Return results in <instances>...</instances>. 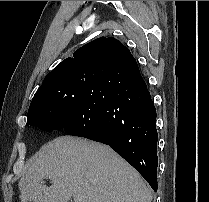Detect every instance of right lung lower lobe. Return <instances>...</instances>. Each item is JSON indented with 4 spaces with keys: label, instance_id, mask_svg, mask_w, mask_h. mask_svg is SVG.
<instances>
[{
    "label": "right lung lower lobe",
    "instance_id": "obj_1",
    "mask_svg": "<svg viewBox=\"0 0 209 202\" xmlns=\"http://www.w3.org/2000/svg\"><path fill=\"white\" fill-rule=\"evenodd\" d=\"M62 129L109 145L157 191L156 109L135 59L95 77Z\"/></svg>",
    "mask_w": 209,
    "mask_h": 202
}]
</instances>
